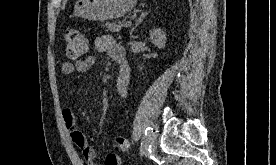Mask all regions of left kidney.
<instances>
[{
    "mask_svg": "<svg viewBox=\"0 0 276 165\" xmlns=\"http://www.w3.org/2000/svg\"><path fill=\"white\" fill-rule=\"evenodd\" d=\"M152 44H154L158 48H163L166 44V34L160 28L153 29L150 32V37Z\"/></svg>",
    "mask_w": 276,
    "mask_h": 165,
    "instance_id": "left-kidney-1",
    "label": "left kidney"
}]
</instances>
